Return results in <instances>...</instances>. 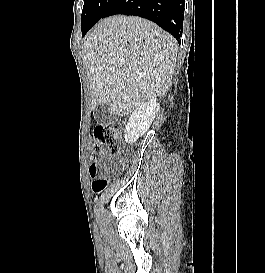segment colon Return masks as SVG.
Segmentation results:
<instances>
[{"label":"colon","mask_w":265,"mask_h":273,"mask_svg":"<svg viewBox=\"0 0 265 273\" xmlns=\"http://www.w3.org/2000/svg\"><path fill=\"white\" fill-rule=\"evenodd\" d=\"M121 127L118 123L109 122L98 125L94 129L95 143L93 145L91 156L94 160H99L105 155L118 156L121 154L122 148L120 144ZM125 159L118 162V165H124ZM90 173L92 175L98 170V165L91 164ZM107 186L106 180H96L92 184L95 193H100Z\"/></svg>","instance_id":"obj_1"}]
</instances>
